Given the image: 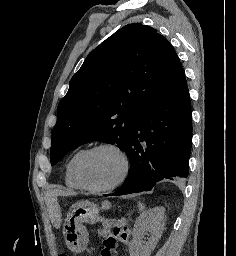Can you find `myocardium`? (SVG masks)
Masks as SVG:
<instances>
[{
  "label": "myocardium",
  "instance_id": "myocardium-1",
  "mask_svg": "<svg viewBox=\"0 0 236 256\" xmlns=\"http://www.w3.org/2000/svg\"><path fill=\"white\" fill-rule=\"evenodd\" d=\"M104 149H110L118 153V155L121 158L122 161V171L119 176V178L112 184L104 187H92L87 184L84 175H83V166L84 162L87 159V157L94 152H97L99 150H104ZM130 173V158L126 150L120 146L119 144L115 142H104L97 144L89 149H87L79 158L77 166H76V175L77 179L82 186L83 189L91 192V193H106L110 192L119 186H121L127 179L128 175Z\"/></svg>",
  "mask_w": 236,
  "mask_h": 256
}]
</instances>
